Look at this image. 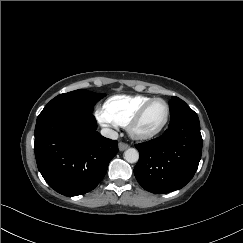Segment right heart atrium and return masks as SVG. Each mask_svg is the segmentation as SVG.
I'll return each mask as SVG.
<instances>
[{
  "instance_id": "d8ad5b80",
  "label": "right heart atrium",
  "mask_w": 243,
  "mask_h": 243,
  "mask_svg": "<svg viewBox=\"0 0 243 243\" xmlns=\"http://www.w3.org/2000/svg\"><path fill=\"white\" fill-rule=\"evenodd\" d=\"M95 115H96V117H97V120H98L101 124H103V125H105V126H107V127H115V126H116L115 121H114L112 118H110V117L106 114V112H105L104 110L98 109V110L96 111Z\"/></svg>"
}]
</instances>
